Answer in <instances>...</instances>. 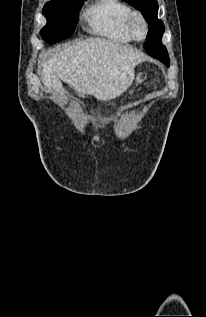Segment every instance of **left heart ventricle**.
<instances>
[{
    "label": "left heart ventricle",
    "instance_id": "b2bd125f",
    "mask_svg": "<svg viewBox=\"0 0 206 317\" xmlns=\"http://www.w3.org/2000/svg\"><path fill=\"white\" fill-rule=\"evenodd\" d=\"M135 30H136L137 35H139V36L143 35L144 30H143V26L140 22L135 23Z\"/></svg>",
    "mask_w": 206,
    "mask_h": 317
}]
</instances>
